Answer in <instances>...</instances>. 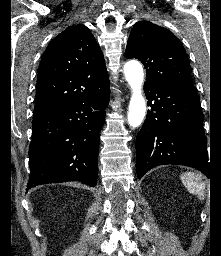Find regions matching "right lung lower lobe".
<instances>
[{"label": "right lung lower lobe", "mask_w": 221, "mask_h": 256, "mask_svg": "<svg viewBox=\"0 0 221 256\" xmlns=\"http://www.w3.org/2000/svg\"><path fill=\"white\" fill-rule=\"evenodd\" d=\"M110 85L103 91L34 116L28 188L80 181L96 186L98 149Z\"/></svg>", "instance_id": "obj_1"}]
</instances>
